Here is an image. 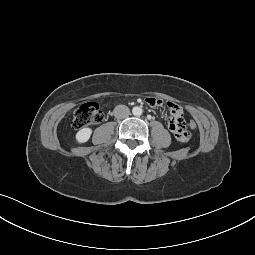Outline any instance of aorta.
Returning <instances> with one entry per match:
<instances>
[{
  "mask_svg": "<svg viewBox=\"0 0 255 255\" xmlns=\"http://www.w3.org/2000/svg\"><path fill=\"white\" fill-rule=\"evenodd\" d=\"M132 113L133 115L135 116H140L142 114V108L141 107H138V106H135L133 107L132 109Z\"/></svg>",
  "mask_w": 255,
  "mask_h": 255,
  "instance_id": "762f6f07",
  "label": "aorta"
}]
</instances>
